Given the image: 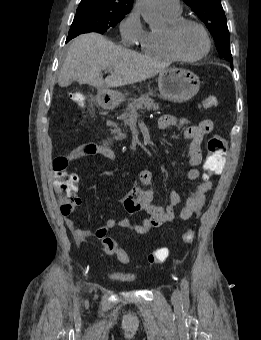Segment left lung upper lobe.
Segmentation results:
<instances>
[{"label":"left lung upper lobe","instance_id":"1","mask_svg":"<svg viewBox=\"0 0 261 340\" xmlns=\"http://www.w3.org/2000/svg\"><path fill=\"white\" fill-rule=\"evenodd\" d=\"M204 22L212 34L217 51L222 57L231 61L230 35L220 0H183Z\"/></svg>","mask_w":261,"mask_h":340}]
</instances>
